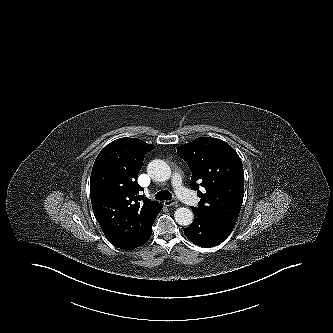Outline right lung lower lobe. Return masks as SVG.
Instances as JSON below:
<instances>
[{"mask_svg": "<svg viewBox=\"0 0 333 333\" xmlns=\"http://www.w3.org/2000/svg\"><path fill=\"white\" fill-rule=\"evenodd\" d=\"M151 234H152V229H151L150 232L148 233L147 237L143 240L142 244L146 243V242L149 240ZM142 244H141V245H142Z\"/></svg>", "mask_w": 333, "mask_h": 333, "instance_id": "1", "label": "right lung lower lobe"}]
</instances>
